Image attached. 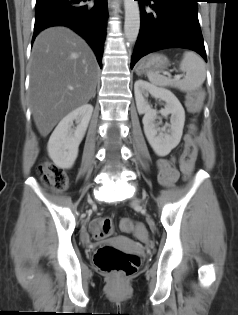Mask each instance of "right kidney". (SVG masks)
I'll return each instance as SVG.
<instances>
[{
  "label": "right kidney",
  "mask_w": 238,
  "mask_h": 315,
  "mask_svg": "<svg viewBox=\"0 0 238 315\" xmlns=\"http://www.w3.org/2000/svg\"><path fill=\"white\" fill-rule=\"evenodd\" d=\"M93 112L91 104H84L71 111L57 125L48 141L49 157L62 169H70L78 156V147L84 138ZM77 123L75 129L73 122Z\"/></svg>",
  "instance_id": "ca27d5eb"
}]
</instances>
